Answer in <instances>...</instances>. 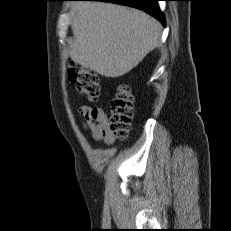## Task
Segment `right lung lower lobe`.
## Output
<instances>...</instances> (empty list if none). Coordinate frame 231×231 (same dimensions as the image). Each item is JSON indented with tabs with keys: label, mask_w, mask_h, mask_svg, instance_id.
<instances>
[{
	"label": "right lung lower lobe",
	"mask_w": 231,
	"mask_h": 231,
	"mask_svg": "<svg viewBox=\"0 0 231 231\" xmlns=\"http://www.w3.org/2000/svg\"><path fill=\"white\" fill-rule=\"evenodd\" d=\"M79 1H105V2H113V3L128 5L149 13L150 15L154 16L160 22H162V24L165 25L164 16L160 12L157 4V1L159 0H79Z\"/></svg>",
	"instance_id": "98d812e1"
}]
</instances>
